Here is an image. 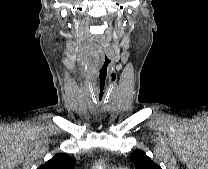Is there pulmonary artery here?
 Listing matches in <instances>:
<instances>
[{
	"label": "pulmonary artery",
	"mask_w": 208,
	"mask_h": 169,
	"mask_svg": "<svg viewBox=\"0 0 208 169\" xmlns=\"http://www.w3.org/2000/svg\"><path fill=\"white\" fill-rule=\"evenodd\" d=\"M116 169H126L125 167H118V168H116Z\"/></svg>",
	"instance_id": "obj_1"
}]
</instances>
